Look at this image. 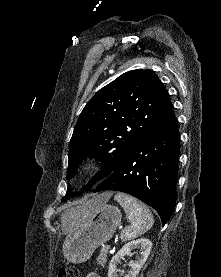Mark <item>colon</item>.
<instances>
[{"label": "colon", "mask_w": 221, "mask_h": 277, "mask_svg": "<svg viewBox=\"0 0 221 277\" xmlns=\"http://www.w3.org/2000/svg\"><path fill=\"white\" fill-rule=\"evenodd\" d=\"M57 277H79V271L74 266L63 267L59 270Z\"/></svg>", "instance_id": "1"}]
</instances>
